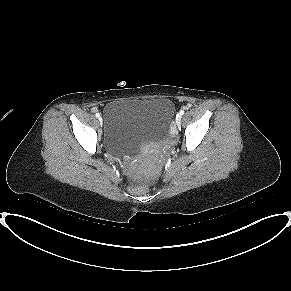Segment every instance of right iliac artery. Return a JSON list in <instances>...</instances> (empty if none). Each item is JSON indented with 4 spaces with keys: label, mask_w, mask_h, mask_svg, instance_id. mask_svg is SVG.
<instances>
[{
    "label": "right iliac artery",
    "mask_w": 291,
    "mask_h": 291,
    "mask_svg": "<svg viewBox=\"0 0 291 291\" xmlns=\"http://www.w3.org/2000/svg\"><path fill=\"white\" fill-rule=\"evenodd\" d=\"M96 117H98V118H99V117H100V114H99V113H96Z\"/></svg>",
    "instance_id": "1"
}]
</instances>
